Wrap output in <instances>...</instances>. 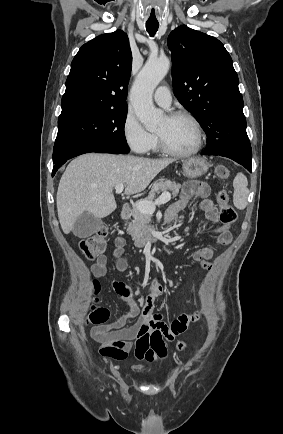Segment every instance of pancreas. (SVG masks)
<instances>
[{
	"mask_svg": "<svg viewBox=\"0 0 283 434\" xmlns=\"http://www.w3.org/2000/svg\"><path fill=\"white\" fill-rule=\"evenodd\" d=\"M156 188L160 191H171L173 198L176 197L180 190V184L170 180L159 182ZM155 195V188L150 192L149 196L144 201H152ZM128 214L133 217V220L128 223L127 232L131 235L136 246H144L147 238L150 235L151 214L140 212L136 207L128 208Z\"/></svg>",
	"mask_w": 283,
	"mask_h": 434,
	"instance_id": "1",
	"label": "pancreas"
}]
</instances>
